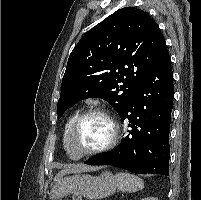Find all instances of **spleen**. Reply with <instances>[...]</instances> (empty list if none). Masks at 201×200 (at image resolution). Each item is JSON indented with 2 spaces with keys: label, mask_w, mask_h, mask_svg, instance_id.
<instances>
[{
  "label": "spleen",
  "mask_w": 201,
  "mask_h": 200,
  "mask_svg": "<svg viewBox=\"0 0 201 200\" xmlns=\"http://www.w3.org/2000/svg\"><path fill=\"white\" fill-rule=\"evenodd\" d=\"M115 180L118 189L122 192L133 193L144 188L142 179L126 172L117 173Z\"/></svg>",
  "instance_id": "1"
}]
</instances>
